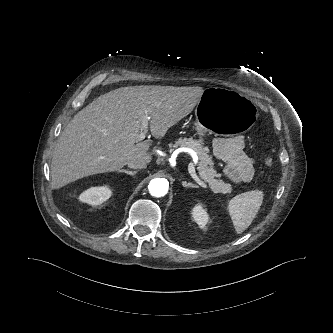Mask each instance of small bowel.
<instances>
[{"instance_id":"1","label":"small bowel","mask_w":333,"mask_h":333,"mask_svg":"<svg viewBox=\"0 0 333 333\" xmlns=\"http://www.w3.org/2000/svg\"><path fill=\"white\" fill-rule=\"evenodd\" d=\"M215 157L223 162L224 174L233 183H250L253 180L254 160L245 152L242 136L216 138L212 144Z\"/></svg>"}]
</instances>
